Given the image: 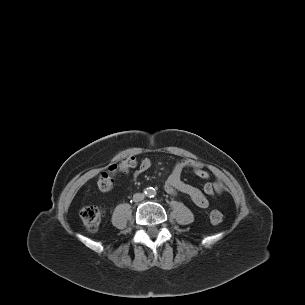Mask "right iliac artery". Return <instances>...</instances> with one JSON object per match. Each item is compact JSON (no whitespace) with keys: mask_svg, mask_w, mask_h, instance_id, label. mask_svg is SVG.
Instances as JSON below:
<instances>
[{"mask_svg":"<svg viewBox=\"0 0 305 305\" xmlns=\"http://www.w3.org/2000/svg\"><path fill=\"white\" fill-rule=\"evenodd\" d=\"M151 190H150V188H147V189H145L144 190V194L146 195V196H149L151 193ZM151 197V196H150ZM132 202V201H131Z\"/></svg>","mask_w":305,"mask_h":305,"instance_id":"82829eb1","label":"right iliac artery"}]
</instances>
